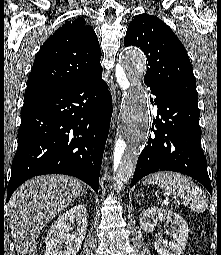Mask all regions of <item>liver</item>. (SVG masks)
Masks as SVG:
<instances>
[{
  "mask_svg": "<svg viewBox=\"0 0 221 255\" xmlns=\"http://www.w3.org/2000/svg\"><path fill=\"white\" fill-rule=\"evenodd\" d=\"M82 182L43 175L22 184L8 202V221L18 255H35L43 227L82 194Z\"/></svg>",
  "mask_w": 221,
  "mask_h": 255,
  "instance_id": "1",
  "label": "liver"
}]
</instances>
